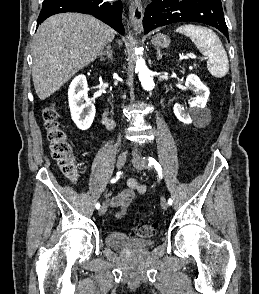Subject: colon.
Here are the masks:
<instances>
[{
	"label": "colon",
	"instance_id": "1",
	"mask_svg": "<svg viewBox=\"0 0 259 294\" xmlns=\"http://www.w3.org/2000/svg\"><path fill=\"white\" fill-rule=\"evenodd\" d=\"M44 125L50 143L52 156L57 160L61 171L71 181L77 179V167L73 159V148L67 138L65 130L59 122V116L54 106H48L43 112ZM155 224H140L134 235L140 238H149L156 233Z\"/></svg>",
	"mask_w": 259,
	"mask_h": 294
}]
</instances>
